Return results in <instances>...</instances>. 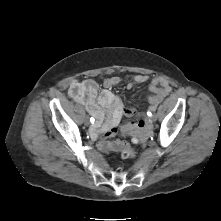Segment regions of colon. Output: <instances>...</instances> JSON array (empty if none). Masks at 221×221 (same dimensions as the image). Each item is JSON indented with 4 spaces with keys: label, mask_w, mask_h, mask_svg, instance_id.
Returning a JSON list of instances; mask_svg holds the SVG:
<instances>
[{
    "label": "colon",
    "mask_w": 221,
    "mask_h": 221,
    "mask_svg": "<svg viewBox=\"0 0 221 221\" xmlns=\"http://www.w3.org/2000/svg\"><path fill=\"white\" fill-rule=\"evenodd\" d=\"M143 121L135 120L130 128L129 132L135 140H143L144 132L142 130ZM98 148L103 152H119L123 158H131L134 156V150L130 144L125 140H116L114 142L101 141L98 144Z\"/></svg>",
    "instance_id": "1"
}]
</instances>
